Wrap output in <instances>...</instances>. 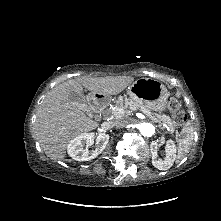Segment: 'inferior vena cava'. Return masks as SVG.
Returning <instances> with one entry per match:
<instances>
[{
  "mask_svg": "<svg viewBox=\"0 0 221 221\" xmlns=\"http://www.w3.org/2000/svg\"><path fill=\"white\" fill-rule=\"evenodd\" d=\"M125 124H126L125 120H117V121L114 122L115 126H123Z\"/></svg>",
  "mask_w": 221,
  "mask_h": 221,
  "instance_id": "602c4592",
  "label": "inferior vena cava"
}]
</instances>
